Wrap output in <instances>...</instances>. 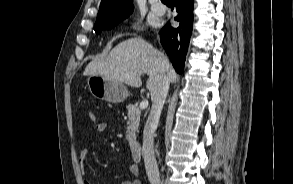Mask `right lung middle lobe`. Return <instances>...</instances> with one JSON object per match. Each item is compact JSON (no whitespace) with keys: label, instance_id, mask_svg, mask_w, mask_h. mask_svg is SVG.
<instances>
[{"label":"right lung middle lobe","instance_id":"obj_1","mask_svg":"<svg viewBox=\"0 0 293 184\" xmlns=\"http://www.w3.org/2000/svg\"><path fill=\"white\" fill-rule=\"evenodd\" d=\"M127 18V17H125ZM125 18L110 22V23H106V24H95L94 25V30L97 34H99L102 30L105 29H112L113 27H115L118 23H120L121 21H123Z\"/></svg>","mask_w":293,"mask_h":184}]
</instances>
